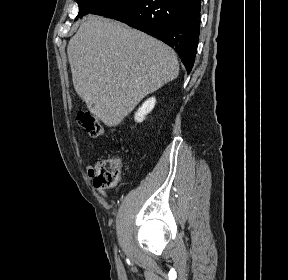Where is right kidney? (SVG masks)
<instances>
[{
    "label": "right kidney",
    "mask_w": 288,
    "mask_h": 280,
    "mask_svg": "<svg viewBox=\"0 0 288 280\" xmlns=\"http://www.w3.org/2000/svg\"><path fill=\"white\" fill-rule=\"evenodd\" d=\"M155 103H156L155 97L147 99L136 112L135 120L137 122H142L145 116L153 110Z\"/></svg>",
    "instance_id": "1"
}]
</instances>
